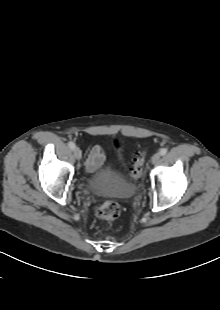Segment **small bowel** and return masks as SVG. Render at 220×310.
I'll use <instances>...</instances> for the list:
<instances>
[{
  "mask_svg": "<svg viewBox=\"0 0 220 310\" xmlns=\"http://www.w3.org/2000/svg\"><path fill=\"white\" fill-rule=\"evenodd\" d=\"M105 162V153L103 149L96 145L93 146L87 155L86 158V171L90 174L97 172Z\"/></svg>",
  "mask_w": 220,
  "mask_h": 310,
  "instance_id": "1",
  "label": "small bowel"
}]
</instances>
